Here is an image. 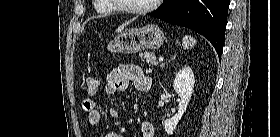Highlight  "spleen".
<instances>
[{"mask_svg": "<svg viewBox=\"0 0 280 137\" xmlns=\"http://www.w3.org/2000/svg\"><path fill=\"white\" fill-rule=\"evenodd\" d=\"M196 44V39H194L193 37L189 36V35H185L183 40H182V47L183 49H190L192 47H194Z\"/></svg>", "mask_w": 280, "mask_h": 137, "instance_id": "1", "label": "spleen"}]
</instances>
